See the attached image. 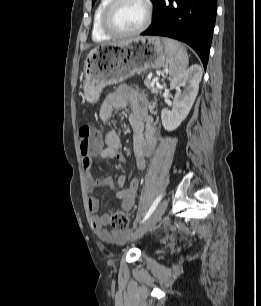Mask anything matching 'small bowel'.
<instances>
[{"label": "small bowel", "instance_id": "c3829d8e", "mask_svg": "<svg viewBox=\"0 0 261 306\" xmlns=\"http://www.w3.org/2000/svg\"><path fill=\"white\" fill-rule=\"evenodd\" d=\"M128 105L132 107V113L129 116V122L133 130V151L135 155L136 166L142 169L145 166L147 157L152 153L156 144V132L152 118L147 113V100L145 96L134 91L130 87L120 86L117 90L109 93L100 108V119L107 123L112 116L119 110L125 109ZM104 148L99 156L102 159H115L125 161V155L121 152V137L115 130H109L104 136ZM83 166L86 170V191L89 194L87 198V207L93 214L92 225L98 237L112 244L124 243L129 234L123 230L109 231L106 225L109 221L108 214L96 216L99 211V200L92 194L97 188H106L110 192L115 191V185L111 177L95 179L92 176L94 160L92 156L83 159ZM126 177L120 175L117 178L119 189L115 191L116 199L121 203L122 208L131 210L134 207L135 195L138 191L140 181L137 177L131 179L126 187Z\"/></svg>", "mask_w": 261, "mask_h": 306}]
</instances>
